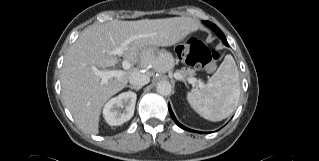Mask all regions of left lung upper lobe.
I'll use <instances>...</instances> for the list:
<instances>
[{"instance_id": "5c2ea615", "label": "left lung upper lobe", "mask_w": 319, "mask_h": 161, "mask_svg": "<svg viewBox=\"0 0 319 161\" xmlns=\"http://www.w3.org/2000/svg\"><path fill=\"white\" fill-rule=\"evenodd\" d=\"M208 24V26H211L212 23L211 22H206ZM215 33L218 35V37L222 40V42L225 44L227 43V40L224 36V34L222 33V31L220 29L216 30Z\"/></svg>"}]
</instances>
